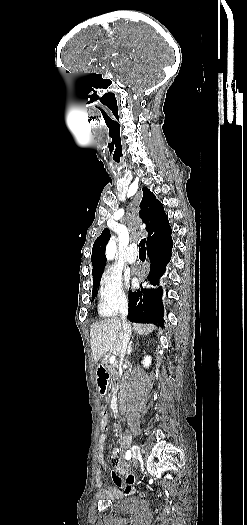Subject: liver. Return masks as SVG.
Here are the masks:
<instances>
[{
    "instance_id": "1",
    "label": "liver",
    "mask_w": 247,
    "mask_h": 525,
    "mask_svg": "<svg viewBox=\"0 0 247 525\" xmlns=\"http://www.w3.org/2000/svg\"><path fill=\"white\" fill-rule=\"evenodd\" d=\"M156 329L155 325H140L133 323V331L138 335H149ZM123 323L121 319H104L94 323L90 329V345L94 363H98L108 351L120 355Z\"/></svg>"
}]
</instances>
